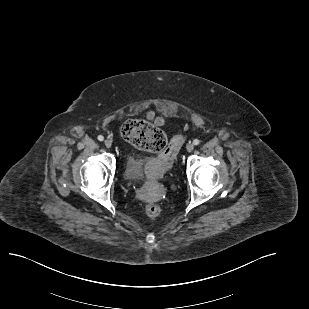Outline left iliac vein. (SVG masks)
Returning <instances> with one entry per match:
<instances>
[{"mask_svg": "<svg viewBox=\"0 0 309 309\" xmlns=\"http://www.w3.org/2000/svg\"><path fill=\"white\" fill-rule=\"evenodd\" d=\"M186 149H187L188 152H192L193 149H194V145L190 143V144H188V145L186 146Z\"/></svg>", "mask_w": 309, "mask_h": 309, "instance_id": "left-iliac-vein-1", "label": "left iliac vein"}]
</instances>
